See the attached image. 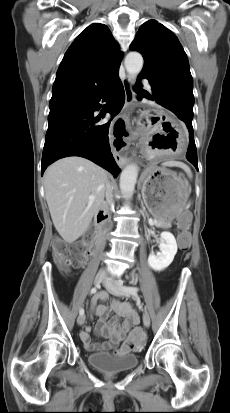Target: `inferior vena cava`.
<instances>
[{
	"label": "inferior vena cava",
	"instance_id": "602c4592",
	"mask_svg": "<svg viewBox=\"0 0 230 413\" xmlns=\"http://www.w3.org/2000/svg\"><path fill=\"white\" fill-rule=\"evenodd\" d=\"M105 196H106V203L110 207H113L114 206V201H113V195H112V186L110 185V183H108L107 186H106Z\"/></svg>",
	"mask_w": 230,
	"mask_h": 413
}]
</instances>
